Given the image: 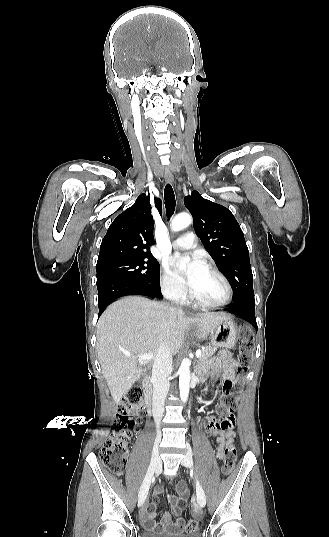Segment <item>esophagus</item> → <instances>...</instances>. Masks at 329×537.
<instances>
[{
	"instance_id": "esophagus-1",
	"label": "esophagus",
	"mask_w": 329,
	"mask_h": 537,
	"mask_svg": "<svg viewBox=\"0 0 329 537\" xmlns=\"http://www.w3.org/2000/svg\"><path fill=\"white\" fill-rule=\"evenodd\" d=\"M164 178H165L166 183L172 184L173 176H172V174H171V172L169 170L165 171Z\"/></svg>"
}]
</instances>
